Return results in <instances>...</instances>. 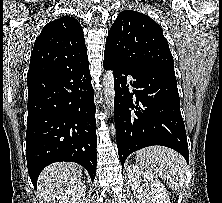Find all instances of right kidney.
I'll return each instance as SVG.
<instances>
[{
	"label": "right kidney",
	"instance_id": "1",
	"mask_svg": "<svg viewBox=\"0 0 222 203\" xmlns=\"http://www.w3.org/2000/svg\"><path fill=\"white\" fill-rule=\"evenodd\" d=\"M86 194L84 183H78L66 190L59 200V203H83Z\"/></svg>",
	"mask_w": 222,
	"mask_h": 203
}]
</instances>
